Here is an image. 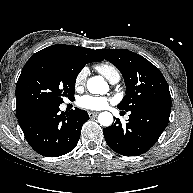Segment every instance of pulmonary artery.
<instances>
[{
	"label": "pulmonary artery",
	"instance_id": "pulmonary-artery-1",
	"mask_svg": "<svg viewBox=\"0 0 193 193\" xmlns=\"http://www.w3.org/2000/svg\"><path fill=\"white\" fill-rule=\"evenodd\" d=\"M119 79H120V77H115V78H113L110 82H111L112 84H116V83L119 81Z\"/></svg>",
	"mask_w": 193,
	"mask_h": 193
}]
</instances>
